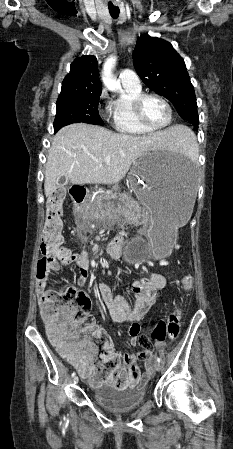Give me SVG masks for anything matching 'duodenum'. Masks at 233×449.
<instances>
[{"instance_id": "410a0bca", "label": "duodenum", "mask_w": 233, "mask_h": 449, "mask_svg": "<svg viewBox=\"0 0 233 449\" xmlns=\"http://www.w3.org/2000/svg\"><path fill=\"white\" fill-rule=\"evenodd\" d=\"M70 195H72V204L74 206H83L88 195L87 186H70ZM121 244V239L117 237L110 244L109 250L117 253L121 248Z\"/></svg>"}]
</instances>
